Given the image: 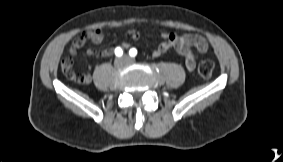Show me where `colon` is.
I'll use <instances>...</instances> for the list:
<instances>
[{"label": "colon", "instance_id": "colon-1", "mask_svg": "<svg viewBox=\"0 0 283 162\" xmlns=\"http://www.w3.org/2000/svg\"><path fill=\"white\" fill-rule=\"evenodd\" d=\"M198 73L203 78H209L214 70V63L211 60L205 59L198 64ZM68 77L75 79L78 83L87 84L90 81V74L82 73L79 75H68Z\"/></svg>", "mask_w": 283, "mask_h": 162}]
</instances>
